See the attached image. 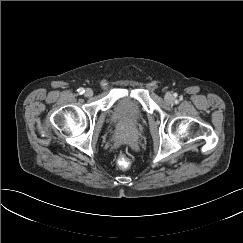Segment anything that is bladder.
<instances>
[{"label":"bladder","mask_w":243,"mask_h":243,"mask_svg":"<svg viewBox=\"0 0 243 243\" xmlns=\"http://www.w3.org/2000/svg\"><path fill=\"white\" fill-rule=\"evenodd\" d=\"M111 118L114 123L129 127L138 124L142 115L127 100H121L113 108Z\"/></svg>","instance_id":"1"}]
</instances>
